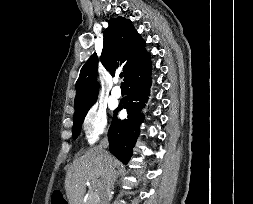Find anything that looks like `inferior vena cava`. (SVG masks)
Returning <instances> with one entry per match:
<instances>
[{
	"mask_svg": "<svg viewBox=\"0 0 253 204\" xmlns=\"http://www.w3.org/2000/svg\"><path fill=\"white\" fill-rule=\"evenodd\" d=\"M108 147V139L104 138L98 148L103 152L105 159V175L99 188V204H108L115 181L114 163L105 149Z\"/></svg>",
	"mask_w": 253,
	"mask_h": 204,
	"instance_id": "inferior-vena-cava-1",
	"label": "inferior vena cava"
}]
</instances>
